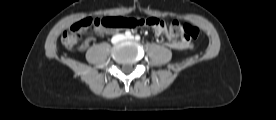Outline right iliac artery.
Segmentation results:
<instances>
[{
  "label": "right iliac artery",
  "instance_id": "1",
  "mask_svg": "<svg viewBox=\"0 0 276 120\" xmlns=\"http://www.w3.org/2000/svg\"><path fill=\"white\" fill-rule=\"evenodd\" d=\"M125 36H126L127 38H129V37L131 36V32H130V31H126V32H125Z\"/></svg>",
  "mask_w": 276,
  "mask_h": 120
}]
</instances>
